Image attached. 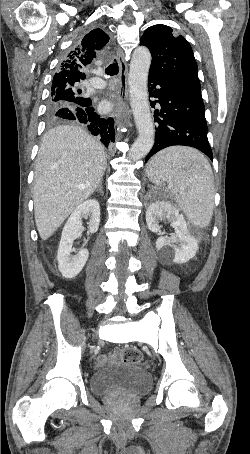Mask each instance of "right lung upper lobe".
Here are the masks:
<instances>
[{
    "label": "right lung upper lobe",
    "mask_w": 250,
    "mask_h": 454,
    "mask_svg": "<svg viewBox=\"0 0 250 454\" xmlns=\"http://www.w3.org/2000/svg\"><path fill=\"white\" fill-rule=\"evenodd\" d=\"M109 41V36L101 29L88 33L78 45L64 57L59 71L55 73L52 85L77 84L85 79L83 70L89 65L96 53L103 49Z\"/></svg>",
    "instance_id": "obj_1"
}]
</instances>
